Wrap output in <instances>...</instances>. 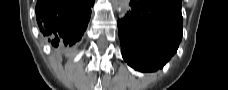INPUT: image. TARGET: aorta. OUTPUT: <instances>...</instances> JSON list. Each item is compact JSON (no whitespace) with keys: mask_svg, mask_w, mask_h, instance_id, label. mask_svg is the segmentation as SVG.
<instances>
[{"mask_svg":"<svg viewBox=\"0 0 228 90\" xmlns=\"http://www.w3.org/2000/svg\"><path fill=\"white\" fill-rule=\"evenodd\" d=\"M114 9L120 14H126L129 10V0H112Z\"/></svg>","mask_w":228,"mask_h":90,"instance_id":"obj_1","label":"aorta"}]
</instances>
